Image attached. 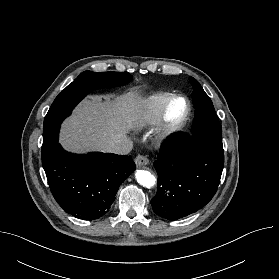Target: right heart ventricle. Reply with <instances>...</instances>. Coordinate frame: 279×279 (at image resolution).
I'll return each mask as SVG.
<instances>
[{
	"mask_svg": "<svg viewBox=\"0 0 279 279\" xmlns=\"http://www.w3.org/2000/svg\"><path fill=\"white\" fill-rule=\"evenodd\" d=\"M172 96L170 92H158L144 99L136 118L137 128L143 129L156 125L164 104Z\"/></svg>",
	"mask_w": 279,
	"mask_h": 279,
	"instance_id": "obj_1",
	"label": "right heart ventricle"
}]
</instances>
